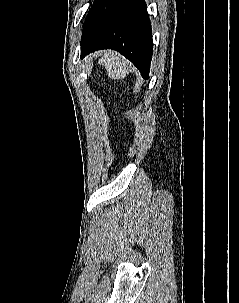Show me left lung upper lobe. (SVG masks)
<instances>
[{"label": "left lung upper lobe", "mask_w": 239, "mask_h": 303, "mask_svg": "<svg viewBox=\"0 0 239 303\" xmlns=\"http://www.w3.org/2000/svg\"><path fill=\"white\" fill-rule=\"evenodd\" d=\"M116 1L117 0H94L83 25L81 43L88 34L99 25L103 17L108 13Z\"/></svg>", "instance_id": "left-lung-upper-lobe-1"}]
</instances>
